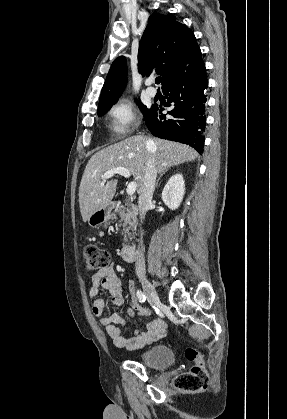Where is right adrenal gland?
I'll list each match as a JSON object with an SVG mask.
<instances>
[{"instance_id":"1","label":"right adrenal gland","mask_w":287,"mask_h":419,"mask_svg":"<svg viewBox=\"0 0 287 419\" xmlns=\"http://www.w3.org/2000/svg\"><path fill=\"white\" fill-rule=\"evenodd\" d=\"M169 170V168H165L161 173H160V176L158 177V179H157V182H156V185H155V187L157 188L158 187V184H159V181H160V179L162 178V176L167 172Z\"/></svg>"}]
</instances>
